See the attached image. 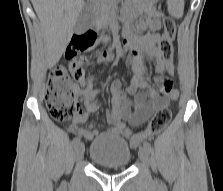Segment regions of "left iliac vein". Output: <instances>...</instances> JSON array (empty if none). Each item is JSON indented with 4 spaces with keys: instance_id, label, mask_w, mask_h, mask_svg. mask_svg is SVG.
<instances>
[{
    "instance_id": "obj_1",
    "label": "left iliac vein",
    "mask_w": 223,
    "mask_h": 191,
    "mask_svg": "<svg viewBox=\"0 0 223 191\" xmlns=\"http://www.w3.org/2000/svg\"><path fill=\"white\" fill-rule=\"evenodd\" d=\"M139 159L140 161L145 164V165H149V152L145 149V147H141L139 149Z\"/></svg>"
}]
</instances>
